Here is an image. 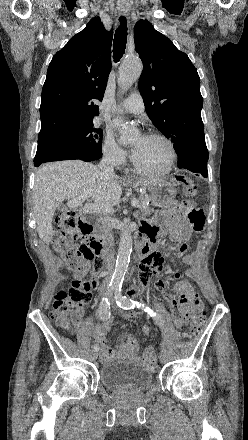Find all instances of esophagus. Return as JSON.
<instances>
[{"mask_svg": "<svg viewBox=\"0 0 248 440\" xmlns=\"http://www.w3.org/2000/svg\"><path fill=\"white\" fill-rule=\"evenodd\" d=\"M120 14H122V15H127V12H125V11H120Z\"/></svg>", "mask_w": 248, "mask_h": 440, "instance_id": "1", "label": "esophagus"}]
</instances>
